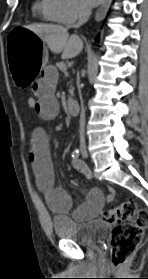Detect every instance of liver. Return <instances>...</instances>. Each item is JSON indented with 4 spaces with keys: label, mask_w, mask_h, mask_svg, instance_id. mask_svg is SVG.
I'll list each match as a JSON object with an SVG mask.
<instances>
[{
    "label": "liver",
    "mask_w": 148,
    "mask_h": 279,
    "mask_svg": "<svg viewBox=\"0 0 148 279\" xmlns=\"http://www.w3.org/2000/svg\"><path fill=\"white\" fill-rule=\"evenodd\" d=\"M39 36L51 52L62 53V59H72L83 49V42L77 35L69 36L67 28L60 25L33 24L25 26Z\"/></svg>",
    "instance_id": "liver-1"
}]
</instances>
